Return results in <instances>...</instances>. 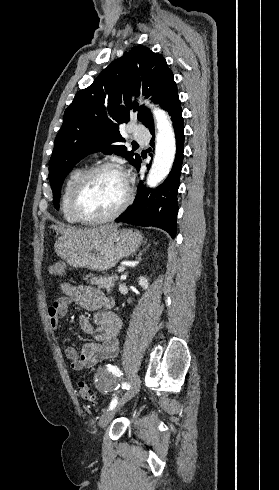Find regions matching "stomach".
Returning <instances> with one entry per match:
<instances>
[{"instance_id": "0dacf381", "label": "stomach", "mask_w": 279, "mask_h": 490, "mask_svg": "<svg viewBox=\"0 0 279 490\" xmlns=\"http://www.w3.org/2000/svg\"><path fill=\"white\" fill-rule=\"evenodd\" d=\"M142 242L143 236L137 230H111L78 240L61 236L55 244V252L71 268L106 274L119 260L132 256Z\"/></svg>"}]
</instances>
